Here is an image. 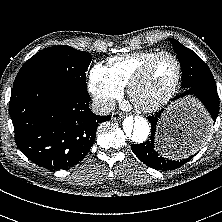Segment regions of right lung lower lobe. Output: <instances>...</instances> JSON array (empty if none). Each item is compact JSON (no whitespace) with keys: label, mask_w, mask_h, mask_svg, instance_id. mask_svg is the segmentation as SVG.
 <instances>
[{"label":"right lung lower lobe","mask_w":222,"mask_h":222,"mask_svg":"<svg viewBox=\"0 0 222 222\" xmlns=\"http://www.w3.org/2000/svg\"><path fill=\"white\" fill-rule=\"evenodd\" d=\"M87 90L42 76L15 79L9 113L15 142L35 164L68 169L89 152L98 125L111 119L89 108Z\"/></svg>","instance_id":"right-lung-lower-lobe-1"}]
</instances>
